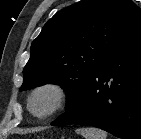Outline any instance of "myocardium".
I'll return each mask as SVG.
<instances>
[{"mask_svg":"<svg viewBox=\"0 0 141 139\" xmlns=\"http://www.w3.org/2000/svg\"><path fill=\"white\" fill-rule=\"evenodd\" d=\"M46 91L51 92L53 94V104L46 112L42 114L36 113L33 109L34 99L38 94ZM69 96V90L63 83L54 80L44 81L37 84L30 91L27 97V109L34 118L39 120H46L54 116L56 113H58L61 109L65 107L69 100Z\"/></svg>","mask_w":141,"mask_h":139,"instance_id":"obj_1","label":"myocardium"}]
</instances>
